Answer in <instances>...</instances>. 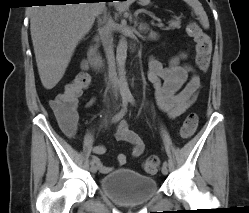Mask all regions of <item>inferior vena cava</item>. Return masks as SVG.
Listing matches in <instances>:
<instances>
[{
  "label": "inferior vena cava",
  "instance_id": "obj_1",
  "mask_svg": "<svg viewBox=\"0 0 249 213\" xmlns=\"http://www.w3.org/2000/svg\"><path fill=\"white\" fill-rule=\"evenodd\" d=\"M100 24H105L102 28L103 32V46L106 53L107 63H108V73H109V80L112 85V88L118 89V79L116 74V67H115V57H114V50H113V23L111 20L102 22Z\"/></svg>",
  "mask_w": 249,
  "mask_h": 213
}]
</instances>
